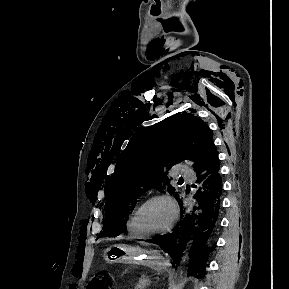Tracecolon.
I'll list each match as a JSON object with an SVG mask.
<instances>
[{
	"label": "colon",
	"mask_w": 289,
	"mask_h": 289,
	"mask_svg": "<svg viewBox=\"0 0 289 289\" xmlns=\"http://www.w3.org/2000/svg\"><path fill=\"white\" fill-rule=\"evenodd\" d=\"M110 279L102 274L98 273L88 283L87 289H111Z\"/></svg>",
	"instance_id": "obj_1"
}]
</instances>
